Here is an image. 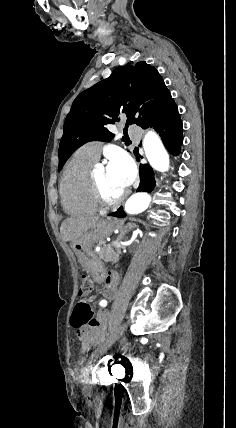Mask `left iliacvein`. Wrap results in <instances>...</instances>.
Returning <instances> with one entry per match:
<instances>
[{"instance_id": "1", "label": "left iliac vein", "mask_w": 236, "mask_h": 428, "mask_svg": "<svg viewBox=\"0 0 236 428\" xmlns=\"http://www.w3.org/2000/svg\"><path fill=\"white\" fill-rule=\"evenodd\" d=\"M122 328H125V325H122ZM120 331L117 329L114 333H113V335H110L109 336V339L107 338L105 341L108 343V342H112L113 340H117V336H118V333H119ZM97 362V359L94 357V356H91L89 359H88V364L84 367V370L87 372V373H90L92 370H93V366H94V364Z\"/></svg>"}]
</instances>
